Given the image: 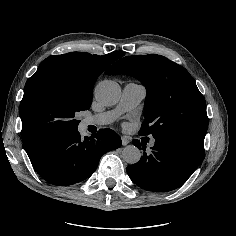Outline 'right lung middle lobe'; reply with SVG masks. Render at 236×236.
<instances>
[{
	"label": "right lung middle lobe",
	"mask_w": 236,
	"mask_h": 236,
	"mask_svg": "<svg viewBox=\"0 0 236 236\" xmlns=\"http://www.w3.org/2000/svg\"><path fill=\"white\" fill-rule=\"evenodd\" d=\"M92 90L55 74L28 79L20 103L25 150H37L58 136L76 131L80 121L75 115L90 108Z\"/></svg>",
	"instance_id": "1"
}]
</instances>
